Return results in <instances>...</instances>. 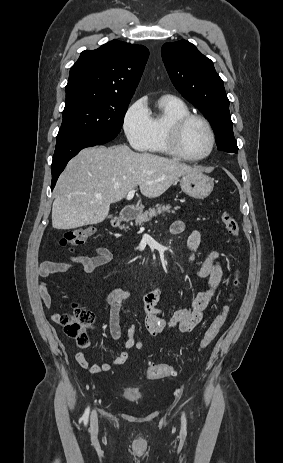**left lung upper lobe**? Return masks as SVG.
Here are the masks:
<instances>
[{"label": "left lung upper lobe", "mask_w": 283, "mask_h": 463, "mask_svg": "<svg viewBox=\"0 0 283 463\" xmlns=\"http://www.w3.org/2000/svg\"><path fill=\"white\" fill-rule=\"evenodd\" d=\"M161 53L175 88L211 123L218 149L237 153L229 100L213 62L186 40L165 43Z\"/></svg>", "instance_id": "left-lung-upper-lobe-1"}]
</instances>
